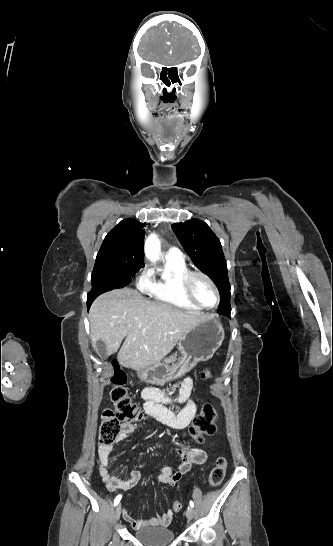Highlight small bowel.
<instances>
[{
	"label": "small bowel",
	"instance_id": "c3829d8e",
	"mask_svg": "<svg viewBox=\"0 0 333 546\" xmlns=\"http://www.w3.org/2000/svg\"><path fill=\"white\" fill-rule=\"evenodd\" d=\"M193 380L186 377L180 388L175 394H167L164 391L145 387L141 391L144 412L157 419L161 423L173 429H183L190 424L194 418L197 406L192 398ZM185 404L177 413L169 409L168 406ZM134 423H125L121 427V432L117 441H125L134 431ZM114 451L112 445H99L97 450V467L99 475L106 485L107 489L115 492L118 489L130 490L140 481L141 475L137 470H132L126 477H120L110 473V457ZM177 452L181 458V464L175 468L166 467L162 470L158 478L160 484L174 486L182 476L187 473L192 466L201 465L206 461L207 455L203 449L190 447L178 448ZM173 517V511L168 509L166 512L154 517L144 519H134L127 511H123L124 520L131 525L133 529H141L149 526H167Z\"/></svg>",
	"mask_w": 333,
	"mask_h": 546
}]
</instances>
